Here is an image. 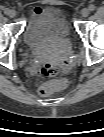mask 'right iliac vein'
Instances as JSON below:
<instances>
[{
    "label": "right iliac vein",
    "mask_w": 104,
    "mask_h": 137,
    "mask_svg": "<svg viewBox=\"0 0 104 137\" xmlns=\"http://www.w3.org/2000/svg\"><path fill=\"white\" fill-rule=\"evenodd\" d=\"M16 11L14 10V9H10V10H8V13H7V15L9 16V17H11V18H14L15 16H16Z\"/></svg>",
    "instance_id": "right-iliac-vein-1"
}]
</instances>
